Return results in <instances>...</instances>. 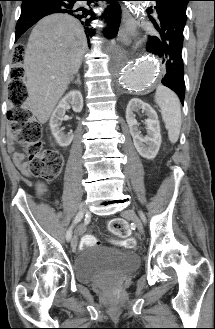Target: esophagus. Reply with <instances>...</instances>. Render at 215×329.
<instances>
[{
	"mask_svg": "<svg viewBox=\"0 0 215 329\" xmlns=\"http://www.w3.org/2000/svg\"><path fill=\"white\" fill-rule=\"evenodd\" d=\"M133 17L127 8H123L122 23L118 32V40L125 46H129L132 42L128 27L133 24Z\"/></svg>",
	"mask_w": 215,
	"mask_h": 329,
	"instance_id": "esophagus-1",
	"label": "esophagus"
}]
</instances>
